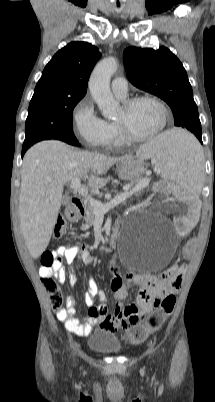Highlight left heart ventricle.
I'll list each match as a JSON object with an SVG mask.
<instances>
[{"label":"left heart ventricle","instance_id":"1","mask_svg":"<svg viewBox=\"0 0 215 402\" xmlns=\"http://www.w3.org/2000/svg\"><path fill=\"white\" fill-rule=\"evenodd\" d=\"M117 120H124L129 130L138 136L156 131L162 123L160 108L151 101H141L125 112L122 108Z\"/></svg>","mask_w":215,"mask_h":402}]
</instances>
